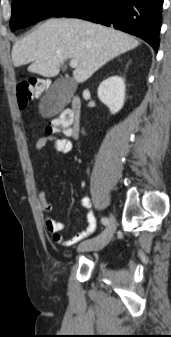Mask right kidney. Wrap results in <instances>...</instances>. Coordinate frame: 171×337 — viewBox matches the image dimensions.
Returning a JSON list of instances; mask_svg holds the SVG:
<instances>
[{"label":"right kidney","mask_w":171,"mask_h":337,"mask_svg":"<svg viewBox=\"0 0 171 337\" xmlns=\"http://www.w3.org/2000/svg\"><path fill=\"white\" fill-rule=\"evenodd\" d=\"M98 97L110 109L111 114L117 113L125 101L124 79L112 76L104 80L98 87Z\"/></svg>","instance_id":"right-kidney-1"}]
</instances>
